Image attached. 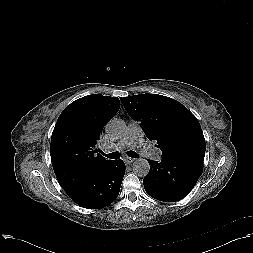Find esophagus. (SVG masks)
Segmentation results:
<instances>
[{"instance_id":"obj_1","label":"esophagus","mask_w":253,"mask_h":253,"mask_svg":"<svg viewBox=\"0 0 253 253\" xmlns=\"http://www.w3.org/2000/svg\"><path fill=\"white\" fill-rule=\"evenodd\" d=\"M134 161H135L134 158H126V159H125V162H126L127 164H131V163H133Z\"/></svg>"}]
</instances>
